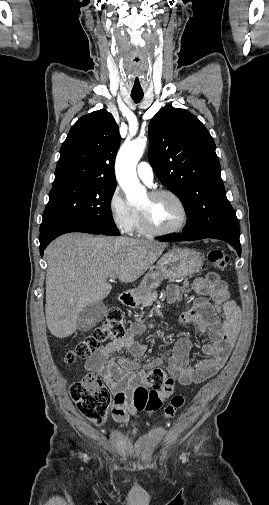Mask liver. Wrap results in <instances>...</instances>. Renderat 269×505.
<instances>
[{
	"mask_svg": "<svg viewBox=\"0 0 269 505\" xmlns=\"http://www.w3.org/2000/svg\"><path fill=\"white\" fill-rule=\"evenodd\" d=\"M161 243L129 237L69 233L45 250L46 323L57 338L72 335L80 312L101 301L112 290L107 279L118 276L125 283L142 276L162 255Z\"/></svg>",
	"mask_w": 269,
	"mask_h": 505,
	"instance_id": "1",
	"label": "liver"
}]
</instances>
